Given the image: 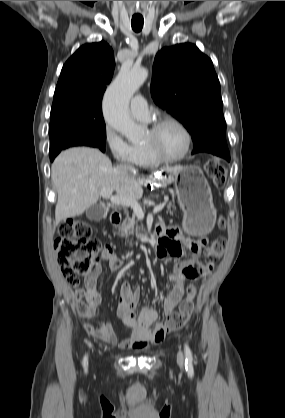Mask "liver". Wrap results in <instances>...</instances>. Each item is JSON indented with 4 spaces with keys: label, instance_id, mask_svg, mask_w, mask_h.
<instances>
[{
    "label": "liver",
    "instance_id": "1",
    "mask_svg": "<svg viewBox=\"0 0 285 418\" xmlns=\"http://www.w3.org/2000/svg\"><path fill=\"white\" fill-rule=\"evenodd\" d=\"M180 166L167 167L164 171L174 172ZM51 179L58 193L55 207V224L81 215L96 204L101 190H112L119 197L138 200L143 195L142 186L155 181L137 176L125 165L112 166L111 160L101 151L89 147H75L61 152L51 168ZM156 177L160 185L173 182L171 176Z\"/></svg>",
    "mask_w": 285,
    "mask_h": 418
}]
</instances>
